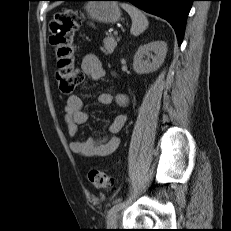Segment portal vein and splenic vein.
<instances>
[{
    "instance_id": "obj_1",
    "label": "portal vein and splenic vein",
    "mask_w": 231,
    "mask_h": 231,
    "mask_svg": "<svg viewBox=\"0 0 231 231\" xmlns=\"http://www.w3.org/2000/svg\"><path fill=\"white\" fill-rule=\"evenodd\" d=\"M114 34H115V35H117V34H118V32H117V31H115V32H114Z\"/></svg>"
}]
</instances>
